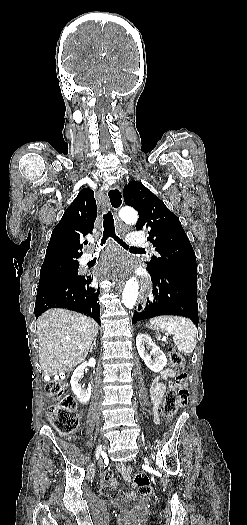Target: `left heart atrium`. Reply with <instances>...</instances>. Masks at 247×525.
Wrapping results in <instances>:
<instances>
[{
	"mask_svg": "<svg viewBox=\"0 0 247 525\" xmlns=\"http://www.w3.org/2000/svg\"><path fill=\"white\" fill-rule=\"evenodd\" d=\"M99 261H103V272L93 273L96 280L105 281L117 277L127 271L130 265V254L123 251L108 249L103 253L102 258Z\"/></svg>",
	"mask_w": 247,
	"mask_h": 525,
	"instance_id": "left-heart-atrium-1",
	"label": "left heart atrium"
}]
</instances>
